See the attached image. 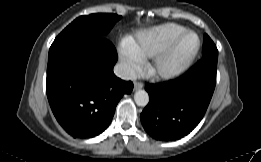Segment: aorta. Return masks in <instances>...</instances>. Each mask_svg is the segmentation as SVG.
I'll return each mask as SVG.
<instances>
[{
	"label": "aorta",
	"mask_w": 261,
	"mask_h": 162,
	"mask_svg": "<svg viewBox=\"0 0 261 162\" xmlns=\"http://www.w3.org/2000/svg\"><path fill=\"white\" fill-rule=\"evenodd\" d=\"M134 100L138 106L144 107L149 103V95L145 90H138L134 94Z\"/></svg>",
	"instance_id": "1"
}]
</instances>
